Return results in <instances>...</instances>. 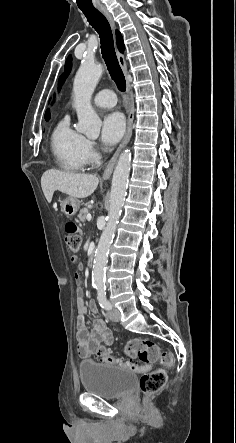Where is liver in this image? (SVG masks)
<instances>
[{
    "mask_svg": "<svg viewBox=\"0 0 236 443\" xmlns=\"http://www.w3.org/2000/svg\"><path fill=\"white\" fill-rule=\"evenodd\" d=\"M99 179L92 174L70 173L50 169L41 177V187L48 203L56 190L74 198H86L97 188Z\"/></svg>",
    "mask_w": 236,
    "mask_h": 443,
    "instance_id": "liver-1",
    "label": "liver"
}]
</instances>
